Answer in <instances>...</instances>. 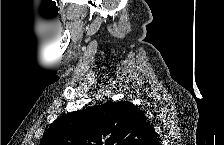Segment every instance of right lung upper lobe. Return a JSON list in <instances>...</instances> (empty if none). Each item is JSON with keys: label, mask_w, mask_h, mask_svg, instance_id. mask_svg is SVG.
I'll return each mask as SVG.
<instances>
[{"label": "right lung upper lobe", "mask_w": 224, "mask_h": 145, "mask_svg": "<svg viewBox=\"0 0 224 145\" xmlns=\"http://www.w3.org/2000/svg\"><path fill=\"white\" fill-rule=\"evenodd\" d=\"M85 142L156 145L158 138L137 106L127 101H108L58 118L47 129L40 145H81Z\"/></svg>", "instance_id": "right-lung-upper-lobe-1"}]
</instances>
